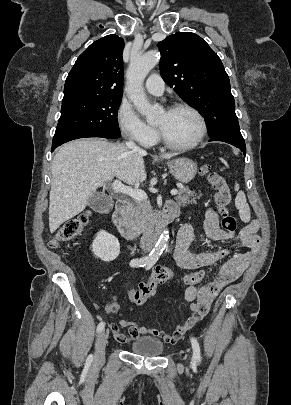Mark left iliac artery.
I'll use <instances>...</instances> for the list:
<instances>
[{"label": "left iliac artery", "instance_id": "1", "mask_svg": "<svg viewBox=\"0 0 291 405\" xmlns=\"http://www.w3.org/2000/svg\"><path fill=\"white\" fill-rule=\"evenodd\" d=\"M153 264H154L153 262L148 263V264L146 265V269H147V270L150 269V268L153 266ZM190 340H191V345H192V349H193V360H194L195 362H200L201 356H200V346H199V343H198L197 339L194 338V337H191Z\"/></svg>", "mask_w": 291, "mask_h": 405}]
</instances>
